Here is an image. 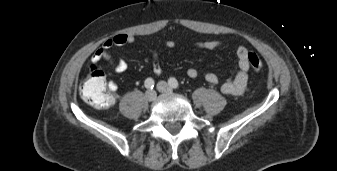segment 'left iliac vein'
Masks as SVG:
<instances>
[{
	"instance_id": "1",
	"label": "left iliac vein",
	"mask_w": 337,
	"mask_h": 171,
	"mask_svg": "<svg viewBox=\"0 0 337 171\" xmlns=\"http://www.w3.org/2000/svg\"><path fill=\"white\" fill-rule=\"evenodd\" d=\"M157 90L161 93H170L172 92L171 87L164 81L157 83Z\"/></svg>"
}]
</instances>
